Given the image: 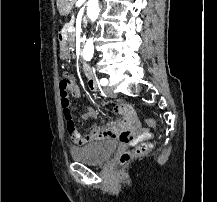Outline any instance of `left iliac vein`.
<instances>
[{
	"label": "left iliac vein",
	"mask_w": 217,
	"mask_h": 202,
	"mask_svg": "<svg viewBox=\"0 0 217 202\" xmlns=\"http://www.w3.org/2000/svg\"><path fill=\"white\" fill-rule=\"evenodd\" d=\"M104 92L105 94H107L109 97H113L114 96V91L111 87L107 86L104 88Z\"/></svg>",
	"instance_id": "1"
}]
</instances>
